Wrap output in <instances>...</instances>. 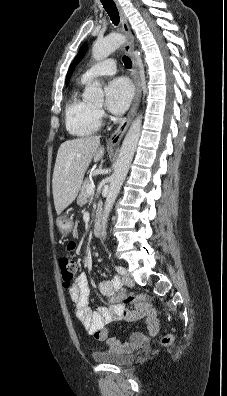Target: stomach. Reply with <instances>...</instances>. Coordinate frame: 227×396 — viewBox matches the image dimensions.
<instances>
[{
    "instance_id": "0dacf381",
    "label": "stomach",
    "mask_w": 227,
    "mask_h": 396,
    "mask_svg": "<svg viewBox=\"0 0 227 396\" xmlns=\"http://www.w3.org/2000/svg\"><path fill=\"white\" fill-rule=\"evenodd\" d=\"M56 224H57L60 232L62 233V235L65 237L68 235V233L72 230V227H73V222H72V219L69 218L68 212L61 214L57 218Z\"/></svg>"
}]
</instances>
